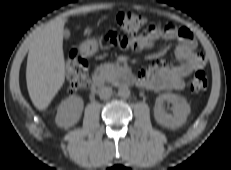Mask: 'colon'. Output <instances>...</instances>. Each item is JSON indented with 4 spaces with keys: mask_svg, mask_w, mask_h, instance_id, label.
Wrapping results in <instances>:
<instances>
[{
    "mask_svg": "<svg viewBox=\"0 0 231 170\" xmlns=\"http://www.w3.org/2000/svg\"><path fill=\"white\" fill-rule=\"evenodd\" d=\"M116 23L121 31L127 36H136L144 27V16L128 11L119 12ZM67 78L69 81L68 91L71 94L84 90L88 85V63L76 50L71 51L66 61ZM208 86V77L204 70L197 69L190 81L191 92L204 91Z\"/></svg>",
    "mask_w": 231,
    "mask_h": 170,
    "instance_id": "5ec220e1",
    "label": "colon"
}]
</instances>
